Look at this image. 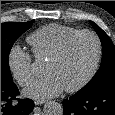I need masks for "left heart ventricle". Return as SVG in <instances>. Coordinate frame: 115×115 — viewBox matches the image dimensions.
Here are the masks:
<instances>
[{
	"label": "left heart ventricle",
	"instance_id": "obj_1",
	"mask_svg": "<svg viewBox=\"0 0 115 115\" xmlns=\"http://www.w3.org/2000/svg\"><path fill=\"white\" fill-rule=\"evenodd\" d=\"M96 57V43L91 36L74 40L64 56L56 62H47L45 74L54 75L65 88L83 80L91 70Z\"/></svg>",
	"mask_w": 115,
	"mask_h": 115
}]
</instances>
